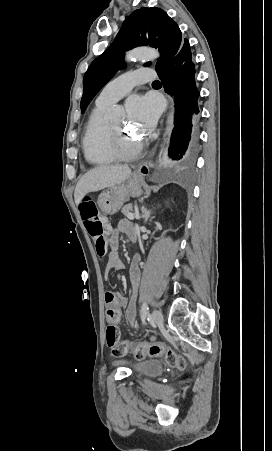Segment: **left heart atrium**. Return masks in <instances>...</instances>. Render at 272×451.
<instances>
[{
  "instance_id": "left-heart-atrium-1",
  "label": "left heart atrium",
  "mask_w": 272,
  "mask_h": 451,
  "mask_svg": "<svg viewBox=\"0 0 272 451\" xmlns=\"http://www.w3.org/2000/svg\"><path fill=\"white\" fill-rule=\"evenodd\" d=\"M129 123L140 134L149 133L158 116L157 103L149 96L131 97L126 105Z\"/></svg>"
}]
</instances>
